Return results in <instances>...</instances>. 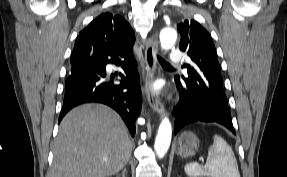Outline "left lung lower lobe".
<instances>
[{
	"label": "left lung lower lobe",
	"mask_w": 287,
	"mask_h": 177,
	"mask_svg": "<svg viewBox=\"0 0 287 177\" xmlns=\"http://www.w3.org/2000/svg\"><path fill=\"white\" fill-rule=\"evenodd\" d=\"M176 86L181 92V100L173 110L175 134L185 125L197 121L217 122L235 134L227 98L223 90L210 89V94H202L193 84L175 77Z\"/></svg>",
	"instance_id": "left-lung-lower-lobe-1"
}]
</instances>
